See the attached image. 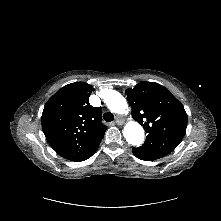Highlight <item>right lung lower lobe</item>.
<instances>
[{"label":"right lung lower lobe","mask_w":221,"mask_h":221,"mask_svg":"<svg viewBox=\"0 0 221 221\" xmlns=\"http://www.w3.org/2000/svg\"><path fill=\"white\" fill-rule=\"evenodd\" d=\"M100 142H101V141H100ZM100 142L97 144V146H96L93 150H91L89 153H87L83 158H81V159L78 160L77 162H79V161H84V160H87L88 158H90V157L96 152V150H97V148H98Z\"/></svg>","instance_id":"1"}]
</instances>
